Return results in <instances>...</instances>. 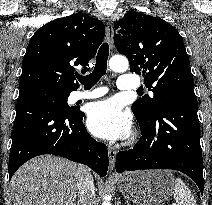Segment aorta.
<instances>
[{"mask_svg":"<svg viewBox=\"0 0 212 205\" xmlns=\"http://www.w3.org/2000/svg\"><path fill=\"white\" fill-rule=\"evenodd\" d=\"M109 67L114 72H124L129 68V62L126 57L115 55L111 57ZM102 205H111V203L110 201H104Z\"/></svg>","mask_w":212,"mask_h":205,"instance_id":"obj_1","label":"aorta"}]
</instances>
